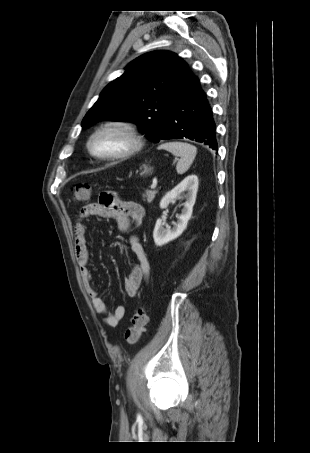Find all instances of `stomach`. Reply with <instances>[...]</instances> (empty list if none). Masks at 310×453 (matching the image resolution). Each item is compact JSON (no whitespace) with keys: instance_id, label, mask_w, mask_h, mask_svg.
<instances>
[{"instance_id":"1","label":"stomach","mask_w":310,"mask_h":453,"mask_svg":"<svg viewBox=\"0 0 310 453\" xmlns=\"http://www.w3.org/2000/svg\"><path fill=\"white\" fill-rule=\"evenodd\" d=\"M152 170H153V168L148 167V166H144V169H143L141 175L151 174V173H152Z\"/></svg>"}]
</instances>
